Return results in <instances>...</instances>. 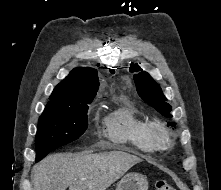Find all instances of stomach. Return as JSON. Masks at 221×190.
I'll return each instance as SVG.
<instances>
[{
    "label": "stomach",
    "mask_w": 221,
    "mask_h": 190,
    "mask_svg": "<svg viewBox=\"0 0 221 190\" xmlns=\"http://www.w3.org/2000/svg\"><path fill=\"white\" fill-rule=\"evenodd\" d=\"M115 190H148V181L139 173H130L121 179Z\"/></svg>",
    "instance_id": "obj_1"
}]
</instances>
